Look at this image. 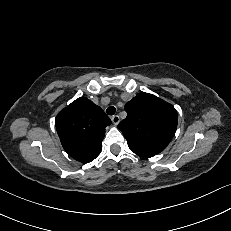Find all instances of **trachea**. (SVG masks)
<instances>
[{
	"label": "trachea",
	"mask_w": 231,
	"mask_h": 231,
	"mask_svg": "<svg viewBox=\"0 0 231 231\" xmlns=\"http://www.w3.org/2000/svg\"><path fill=\"white\" fill-rule=\"evenodd\" d=\"M115 112H116V108H115L114 106H110V107H108L107 110H106V113H107L108 115H114Z\"/></svg>",
	"instance_id": "3493384b"
}]
</instances>
